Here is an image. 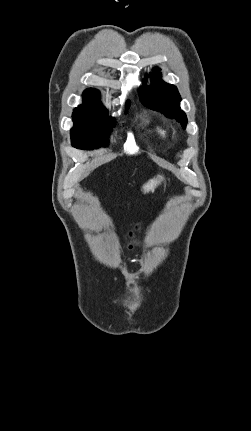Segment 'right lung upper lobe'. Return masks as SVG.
I'll return each mask as SVG.
<instances>
[{"mask_svg":"<svg viewBox=\"0 0 251 431\" xmlns=\"http://www.w3.org/2000/svg\"><path fill=\"white\" fill-rule=\"evenodd\" d=\"M84 95H96L99 96V92L95 89H87L84 91Z\"/></svg>","mask_w":251,"mask_h":431,"instance_id":"cb5924a9","label":"right lung upper lobe"}]
</instances>
